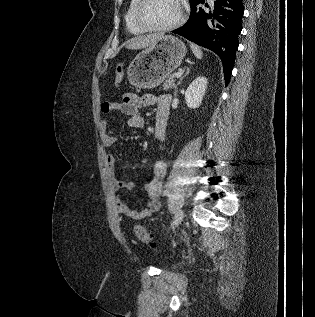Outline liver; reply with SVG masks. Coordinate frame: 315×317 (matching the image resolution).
Here are the masks:
<instances>
[{
    "label": "liver",
    "mask_w": 315,
    "mask_h": 317,
    "mask_svg": "<svg viewBox=\"0 0 315 317\" xmlns=\"http://www.w3.org/2000/svg\"><path fill=\"white\" fill-rule=\"evenodd\" d=\"M163 37L162 34H152L147 36H137L130 39L127 44V49H142L152 46L157 40Z\"/></svg>",
    "instance_id": "liver-1"
}]
</instances>
